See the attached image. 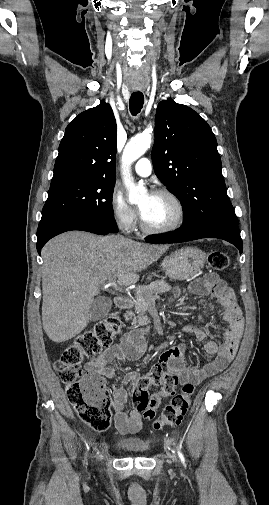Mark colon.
Returning <instances> with one entry per match:
<instances>
[{
    "mask_svg": "<svg viewBox=\"0 0 269 505\" xmlns=\"http://www.w3.org/2000/svg\"><path fill=\"white\" fill-rule=\"evenodd\" d=\"M208 264L215 271H223L229 266V257L221 250H212L208 255ZM120 329L119 316L113 312L68 345L54 364L61 381L66 385L68 399L77 415L96 431H104L110 426V400L102 377L83 373L81 366L84 360L97 357L108 347ZM177 384L174 376L152 367L133 389V405L148 419L155 416L158 405V399L149 395L148 389L151 386L160 387L163 396H172L170 403L153 423L156 430L178 425L190 407L194 385L186 383L181 392L175 394Z\"/></svg>",
    "mask_w": 269,
    "mask_h": 505,
    "instance_id": "1",
    "label": "colon"
}]
</instances>
